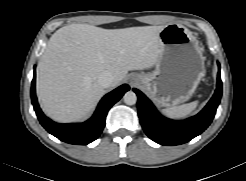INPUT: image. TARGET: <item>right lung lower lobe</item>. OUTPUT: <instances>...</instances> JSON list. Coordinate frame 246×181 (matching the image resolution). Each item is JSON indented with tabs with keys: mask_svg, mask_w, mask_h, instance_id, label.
Instances as JSON below:
<instances>
[{
	"mask_svg": "<svg viewBox=\"0 0 246 181\" xmlns=\"http://www.w3.org/2000/svg\"><path fill=\"white\" fill-rule=\"evenodd\" d=\"M35 78L36 72L34 70V78L31 84V99L41 125L59 140L76 145H87L100 136L105 126L108 110L129 90V86L124 84L106 94L100 101L94 115L84 123L58 124L47 118L41 111L35 94Z\"/></svg>",
	"mask_w": 246,
	"mask_h": 181,
	"instance_id": "obj_1",
	"label": "right lung lower lobe"
}]
</instances>
